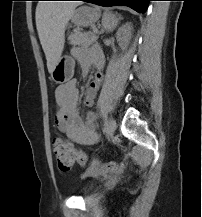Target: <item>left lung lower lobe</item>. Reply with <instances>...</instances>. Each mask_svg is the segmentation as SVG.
Returning <instances> with one entry per match:
<instances>
[{
  "label": "left lung lower lobe",
  "mask_w": 202,
  "mask_h": 217,
  "mask_svg": "<svg viewBox=\"0 0 202 217\" xmlns=\"http://www.w3.org/2000/svg\"><path fill=\"white\" fill-rule=\"evenodd\" d=\"M93 4H97L104 7L110 6H127L137 11L138 13H144L148 8V3L151 0H81Z\"/></svg>",
  "instance_id": "obj_1"
}]
</instances>
